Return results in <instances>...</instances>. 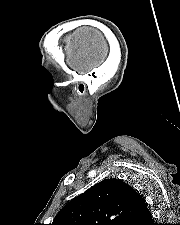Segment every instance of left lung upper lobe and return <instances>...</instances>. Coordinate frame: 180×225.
<instances>
[{
  "label": "left lung upper lobe",
  "mask_w": 180,
  "mask_h": 225,
  "mask_svg": "<svg viewBox=\"0 0 180 225\" xmlns=\"http://www.w3.org/2000/svg\"><path fill=\"white\" fill-rule=\"evenodd\" d=\"M146 207L131 186L106 179L66 204L51 225H126Z\"/></svg>",
  "instance_id": "5c2ea615"
}]
</instances>
